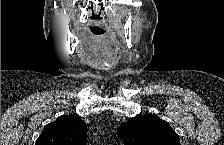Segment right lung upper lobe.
<instances>
[{
  "label": "right lung upper lobe",
  "instance_id": "obj_1",
  "mask_svg": "<svg viewBox=\"0 0 224 145\" xmlns=\"http://www.w3.org/2000/svg\"><path fill=\"white\" fill-rule=\"evenodd\" d=\"M86 139L84 121L74 115H63L45 126L36 145H84Z\"/></svg>",
  "mask_w": 224,
  "mask_h": 145
}]
</instances>
